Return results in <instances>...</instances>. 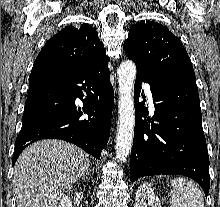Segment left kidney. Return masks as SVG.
Segmentation results:
<instances>
[{
  "instance_id": "5707ae66",
  "label": "left kidney",
  "mask_w": 220,
  "mask_h": 207,
  "mask_svg": "<svg viewBox=\"0 0 220 207\" xmlns=\"http://www.w3.org/2000/svg\"><path fill=\"white\" fill-rule=\"evenodd\" d=\"M135 207H162L151 184L145 183L138 187L135 196Z\"/></svg>"
}]
</instances>
